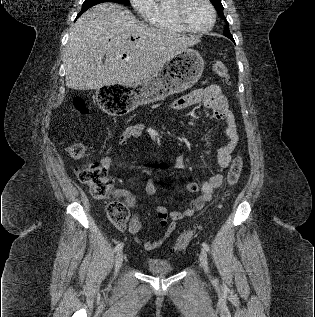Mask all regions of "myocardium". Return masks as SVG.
Instances as JSON below:
<instances>
[{"label": "myocardium", "instance_id": "f54148a6", "mask_svg": "<svg viewBox=\"0 0 315 317\" xmlns=\"http://www.w3.org/2000/svg\"><path fill=\"white\" fill-rule=\"evenodd\" d=\"M189 1L190 0H175L173 10H174V16H175L176 21L186 31L193 32V33L209 32L213 28L215 21H216V11H215L213 4L211 3L210 0H203L210 10L211 21H210V24L205 28H194L187 22L186 17H185V10H186V6L189 3Z\"/></svg>", "mask_w": 315, "mask_h": 317}]
</instances>
